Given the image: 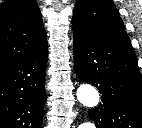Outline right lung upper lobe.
<instances>
[{
    "label": "right lung upper lobe",
    "mask_w": 142,
    "mask_h": 128,
    "mask_svg": "<svg viewBox=\"0 0 142 128\" xmlns=\"http://www.w3.org/2000/svg\"><path fill=\"white\" fill-rule=\"evenodd\" d=\"M46 43L36 0H5L0 7V71Z\"/></svg>",
    "instance_id": "obj_1"
}]
</instances>
